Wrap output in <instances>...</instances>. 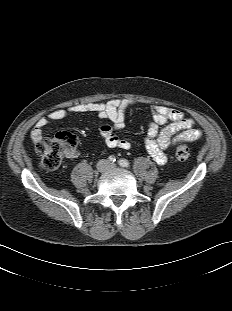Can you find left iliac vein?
Wrapping results in <instances>:
<instances>
[{"instance_id": "obj_1", "label": "left iliac vein", "mask_w": 232, "mask_h": 311, "mask_svg": "<svg viewBox=\"0 0 232 311\" xmlns=\"http://www.w3.org/2000/svg\"><path fill=\"white\" fill-rule=\"evenodd\" d=\"M109 168H110V169L116 168V164H114V163L109 164Z\"/></svg>"}]
</instances>
